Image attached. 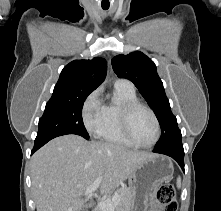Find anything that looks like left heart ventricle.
Returning <instances> with one entry per match:
<instances>
[{
  "instance_id": "b2bd125f",
  "label": "left heart ventricle",
  "mask_w": 221,
  "mask_h": 211,
  "mask_svg": "<svg viewBox=\"0 0 221 211\" xmlns=\"http://www.w3.org/2000/svg\"><path fill=\"white\" fill-rule=\"evenodd\" d=\"M131 130L134 138L141 144L151 143L156 135L153 118L145 109H138L131 119Z\"/></svg>"
}]
</instances>
